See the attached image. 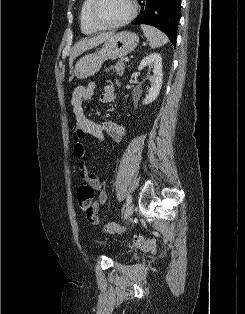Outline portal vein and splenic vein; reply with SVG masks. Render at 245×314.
Returning <instances> with one entry per match:
<instances>
[{
  "label": "portal vein and splenic vein",
  "mask_w": 245,
  "mask_h": 314,
  "mask_svg": "<svg viewBox=\"0 0 245 314\" xmlns=\"http://www.w3.org/2000/svg\"><path fill=\"white\" fill-rule=\"evenodd\" d=\"M124 60H125V62H128V61H129V58H128V57H126Z\"/></svg>",
  "instance_id": "obj_1"
}]
</instances>
